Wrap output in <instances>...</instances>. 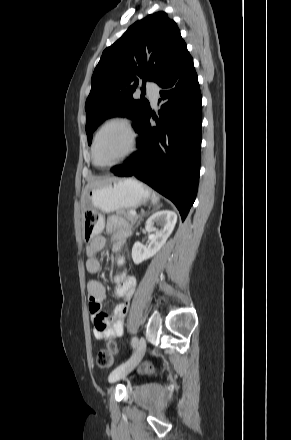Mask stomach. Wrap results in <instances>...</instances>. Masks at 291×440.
Listing matches in <instances>:
<instances>
[{"label":"stomach","instance_id":"obj_1","mask_svg":"<svg viewBox=\"0 0 291 440\" xmlns=\"http://www.w3.org/2000/svg\"><path fill=\"white\" fill-rule=\"evenodd\" d=\"M150 199L146 186L133 178L115 179L89 189L85 195L82 217L83 238L91 239L104 228V213L136 208Z\"/></svg>","mask_w":291,"mask_h":440}]
</instances>
